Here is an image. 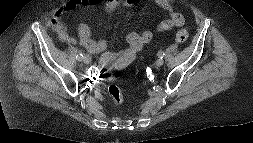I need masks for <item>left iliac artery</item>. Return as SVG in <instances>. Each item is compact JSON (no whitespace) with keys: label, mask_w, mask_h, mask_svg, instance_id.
Instances as JSON below:
<instances>
[{"label":"left iliac artery","mask_w":253,"mask_h":143,"mask_svg":"<svg viewBox=\"0 0 253 143\" xmlns=\"http://www.w3.org/2000/svg\"><path fill=\"white\" fill-rule=\"evenodd\" d=\"M164 55H165V53H164L163 51H159V52H158V57H159V58H163Z\"/></svg>","instance_id":"1"}]
</instances>
